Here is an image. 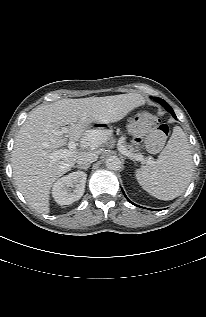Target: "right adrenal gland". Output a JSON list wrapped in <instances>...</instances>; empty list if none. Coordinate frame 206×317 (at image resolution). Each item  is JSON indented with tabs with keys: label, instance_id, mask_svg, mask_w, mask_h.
Instances as JSON below:
<instances>
[{
	"label": "right adrenal gland",
	"instance_id": "obj_1",
	"mask_svg": "<svg viewBox=\"0 0 206 317\" xmlns=\"http://www.w3.org/2000/svg\"><path fill=\"white\" fill-rule=\"evenodd\" d=\"M76 167L79 168V169L87 170L90 166L88 165V166H83V167H81V166H76Z\"/></svg>",
	"mask_w": 206,
	"mask_h": 317
}]
</instances>
